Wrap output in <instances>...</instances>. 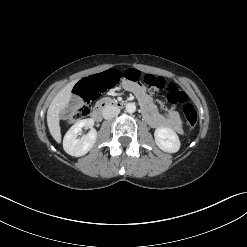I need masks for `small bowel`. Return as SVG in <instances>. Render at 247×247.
I'll list each match as a JSON object with an SVG mask.
<instances>
[{
  "instance_id": "obj_1",
  "label": "small bowel",
  "mask_w": 247,
  "mask_h": 247,
  "mask_svg": "<svg viewBox=\"0 0 247 247\" xmlns=\"http://www.w3.org/2000/svg\"><path fill=\"white\" fill-rule=\"evenodd\" d=\"M123 87L135 94L143 114L150 126L154 128H169L178 134L183 133V126L179 113L176 110H169L166 114H160L151 98L146 93L144 86L140 83L125 81Z\"/></svg>"
}]
</instances>
